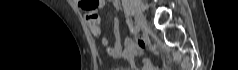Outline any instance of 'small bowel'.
I'll list each match as a JSON object with an SVG mask.
<instances>
[{
    "label": "small bowel",
    "instance_id": "small-bowel-1",
    "mask_svg": "<svg viewBox=\"0 0 238 70\" xmlns=\"http://www.w3.org/2000/svg\"><path fill=\"white\" fill-rule=\"evenodd\" d=\"M105 4V0H77V5L83 10L84 16L89 27L90 32L95 37H101V20L97 13V10ZM117 5V1H114ZM115 36L114 46H110L109 40L102 36L101 42L103 46L107 49L108 54L113 58H126L130 63V70H151L152 65L149 59L145 58L142 61V66L139 68L135 61L134 56L141 54L143 48L145 47V41L139 40L136 42L132 38H127L122 43L118 22L115 21L113 28ZM124 70V69H123Z\"/></svg>",
    "mask_w": 238,
    "mask_h": 70
}]
</instances>
